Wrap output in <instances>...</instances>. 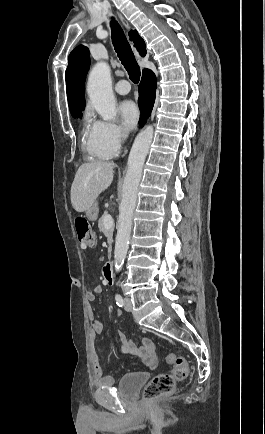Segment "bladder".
<instances>
[{"label": "bladder", "instance_id": "bladder-1", "mask_svg": "<svg viewBox=\"0 0 265 434\" xmlns=\"http://www.w3.org/2000/svg\"><path fill=\"white\" fill-rule=\"evenodd\" d=\"M148 379L147 373L133 372L124 375L118 384V395L122 398L135 399Z\"/></svg>", "mask_w": 265, "mask_h": 434}]
</instances>
